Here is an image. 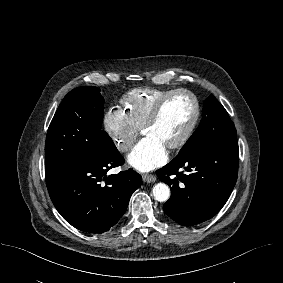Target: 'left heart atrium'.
Here are the masks:
<instances>
[{
	"mask_svg": "<svg viewBox=\"0 0 283 283\" xmlns=\"http://www.w3.org/2000/svg\"><path fill=\"white\" fill-rule=\"evenodd\" d=\"M166 159L164 144L150 136H145L128 156L129 164L141 172H148L163 165Z\"/></svg>",
	"mask_w": 283,
	"mask_h": 283,
	"instance_id": "39dd6f15",
	"label": "left heart atrium"
}]
</instances>
